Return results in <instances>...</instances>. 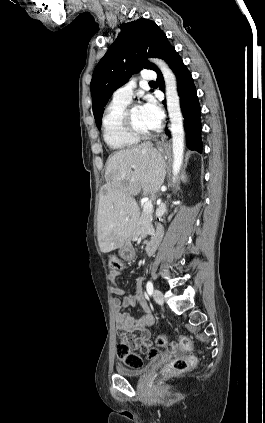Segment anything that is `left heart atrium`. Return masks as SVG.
Masks as SVG:
<instances>
[{"label":"left heart atrium","mask_w":265,"mask_h":423,"mask_svg":"<svg viewBox=\"0 0 265 423\" xmlns=\"http://www.w3.org/2000/svg\"><path fill=\"white\" fill-rule=\"evenodd\" d=\"M143 115L152 125L153 128L158 127L162 120V110L158 106L157 102L153 99H147V101L141 106Z\"/></svg>","instance_id":"obj_1"}]
</instances>
